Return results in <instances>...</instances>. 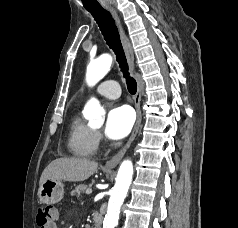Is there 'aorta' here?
<instances>
[{
    "mask_svg": "<svg viewBox=\"0 0 238 228\" xmlns=\"http://www.w3.org/2000/svg\"><path fill=\"white\" fill-rule=\"evenodd\" d=\"M112 56L103 54L92 60L86 71V82L89 86L96 85L110 70ZM83 114L90 121H102L104 110L96 98H91L85 105ZM133 164L130 160H124L118 170L116 183L108 202L107 214L103 221V228H115L118 224L120 207L126 198L132 182Z\"/></svg>",
    "mask_w": 238,
    "mask_h": 228,
    "instance_id": "1",
    "label": "aorta"
}]
</instances>
